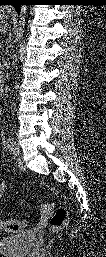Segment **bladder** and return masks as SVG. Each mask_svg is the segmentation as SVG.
<instances>
[{
	"label": "bladder",
	"mask_w": 106,
	"mask_h": 257,
	"mask_svg": "<svg viewBox=\"0 0 106 257\" xmlns=\"http://www.w3.org/2000/svg\"><path fill=\"white\" fill-rule=\"evenodd\" d=\"M34 243V234L30 230L0 239V254L4 257H24Z\"/></svg>",
	"instance_id": "1"
}]
</instances>
